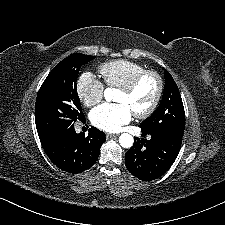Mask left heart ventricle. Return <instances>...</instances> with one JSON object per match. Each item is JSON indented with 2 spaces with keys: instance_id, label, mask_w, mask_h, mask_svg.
<instances>
[{
  "instance_id": "1",
  "label": "left heart ventricle",
  "mask_w": 225,
  "mask_h": 225,
  "mask_svg": "<svg viewBox=\"0 0 225 225\" xmlns=\"http://www.w3.org/2000/svg\"><path fill=\"white\" fill-rule=\"evenodd\" d=\"M157 84L153 77L142 79L129 94L118 91L116 102L125 104L133 113L145 110L152 102Z\"/></svg>"
}]
</instances>
